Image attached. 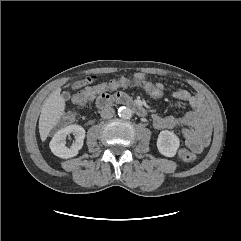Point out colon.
<instances>
[{
  "label": "colon",
  "instance_id": "obj_1",
  "mask_svg": "<svg viewBox=\"0 0 241 241\" xmlns=\"http://www.w3.org/2000/svg\"><path fill=\"white\" fill-rule=\"evenodd\" d=\"M97 81V78L90 77L83 81H79L74 85V97L73 101L77 105L85 104L89 99H91L96 93H105L108 90H118L124 88H139L147 93L154 100H161L164 96V90L162 87L140 80L137 77H119L113 79L109 82L102 84H93ZM76 118L74 112H67L63 116V123H72ZM179 157L184 162H193L196 159L194 153L188 149L182 148L179 150Z\"/></svg>",
  "mask_w": 241,
  "mask_h": 241
}]
</instances>
